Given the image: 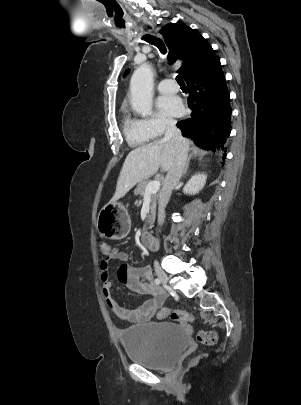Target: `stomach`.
<instances>
[{
    "instance_id": "1",
    "label": "stomach",
    "mask_w": 301,
    "mask_h": 405,
    "mask_svg": "<svg viewBox=\"0 0 301 405\" xmlns=\"http://www.w3.org/2000/svg\"><path fill=\"white\" fill-rule=\"evenodd\" d=\"M131 228V220L126 208L120 203H108L99 212L97 229L108 239L121 240Z\"/></svg>"
}]
</instances>
